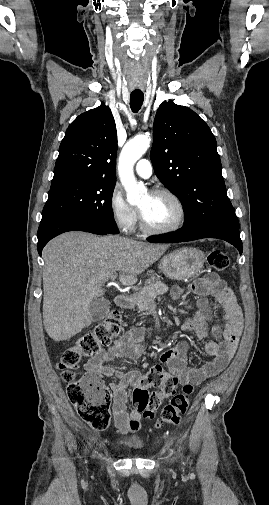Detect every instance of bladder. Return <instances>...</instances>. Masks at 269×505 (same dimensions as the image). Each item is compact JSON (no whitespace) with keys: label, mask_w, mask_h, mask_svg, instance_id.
<instances>
[{"label":"bladder","mask_w":269,"mask_h":505,"mask_svg":"<svg viewBox=\"0 0 269 505\" xmlns=\"http://www.w3.org/2000/svg\"><path fill=\"white\" fill-rule=\"evenodd\" d=\"M119 445L123 448L134 449V450H138V449L143 448L142 444H140L138 442H132V441H122L119 443Z\"/></svg>","instance_id":"1"}]
</instances>
